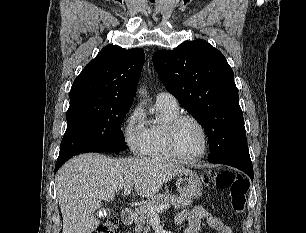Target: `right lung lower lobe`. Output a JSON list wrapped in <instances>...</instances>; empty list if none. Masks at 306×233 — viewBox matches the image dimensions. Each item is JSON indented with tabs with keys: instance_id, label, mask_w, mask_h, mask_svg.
<instances>
[{
	"instance_id": "obj_1",
	"label": "right lung lower lobe",
	"mask_w": 306,
	"mask_h": 233,
	"mask_svg": "<svg viewBox=\"0 0 306 233\" xmlns=\"http://www.w3.org/2000/svg\"><path fill=\"white\" fill-rule=\"evenodd\" d=\"M69 158L67 159H64V160H59L56 162V167H55V172L68 160Z\"/></svg>"
}]
</instances>
